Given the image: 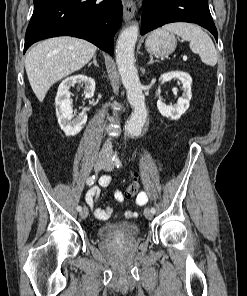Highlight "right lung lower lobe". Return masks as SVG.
<instances>
[{
	"label": "right lung lower lobe",
	"instance_id": "98d812e1",
	"mask_svg": "<svg viewBox=\"0 0 247 296\" xmlns=\"http://www.w3.org/2000/svg\"><path fill=\"white\" fill-rule=\"evenodd\" d=\"M122 11L120 0H34L24 53L39 40L74 36L113 55V38L121 26Z\"/></svg>",
	"mask_w": 247,
	"mask_h": 296
}]
</instances>
